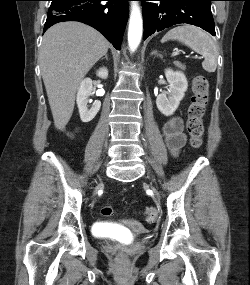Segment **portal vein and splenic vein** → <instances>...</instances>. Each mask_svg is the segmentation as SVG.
<instances>
[{"instance_id": "1", "label": "portal vein and splenic vein", "mask_w": 250, "mask_h": 285, "mask_svg": "<svg viewBox=\"0 0 250 285\" xmlns=\"http://www.w3.org/2000/svg\"><path fill=\"white\" fill-rule=\"evenodd\" d=\"M192 58L201 59V57H199L198 55L192 56Z\"/></svg>"}]
</instances>
